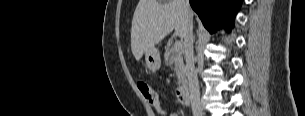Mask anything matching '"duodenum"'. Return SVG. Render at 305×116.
Wrapping results in <instances>:
<instances>
[{
	"mask_svg": "<svg viewBox=\"0 0 305 116\" xmlns=\"http://www.w3.org/2000/svg\"><path fill=\"white\" fill-rule=\"evenodd\" d=\"M178 97H179V101L181 102V104H183V105L190 104L191 98H190L189 88L187 85H182L179 87Z\"/></svg>",
	"mask_w": 305,
	"mask_h": 116,
	"instance_id": "duodenum-1",
	"label": "duodenum"
}]
</instances>
